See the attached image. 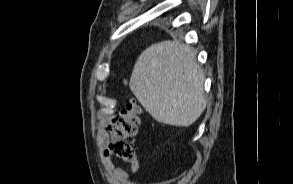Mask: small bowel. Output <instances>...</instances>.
<instances>
[{"mask_svg": "<svg viewBox=\"0 0 293 184\" xmlns=\"http://www.w3.org/2000/svg\"><path fill=\"white\" fill-rule=\"evenodd\" d=\"M106 134H102V138H105ZM102 165L105 170L109 173V180L111 184H129V175L128 173L119 167H116L112 158L109 156H104L102 158ZM133 172L138 170V162L131 164L130 166Z\"/></svg>", "mask_w": 293, "mask_h": 184, "instance_id": "1", "label": "small bowel"}]
</instances>
